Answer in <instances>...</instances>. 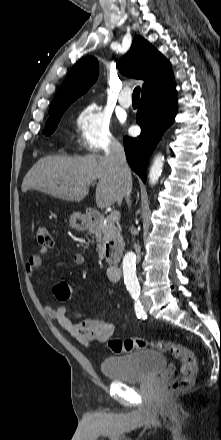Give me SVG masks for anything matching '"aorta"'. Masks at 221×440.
I'll list each match as a JSON object with an SVG mask.
<instances>
[{
  "label": "aorta",
  "instance_id": "aorta-1",
  "mask_svg": "<svg viewBox=\"0 0 221 440\" xmlns=\"http://www.w3.org/2000/svg\"><path fill=\"white\" fill-rule=\"evenodd\" d=\"M164 157L158 154L151 165L149 171L150 183L155 184L161 176ZM136 256L132 252L126 253L123 259L124 282L130 291H138L139 283L136 276Z\"/></svg>",
  "mask_w": 221,
  "mask_h": 440
}]
</instances>
